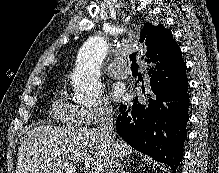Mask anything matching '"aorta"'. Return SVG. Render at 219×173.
Returning a JSON list of instances; mask_svg holds the SVG:
<instances>
[{"mask_svg": "<svg viewBox=\"0 0 219 173\" xmlns=\"http://www.w3.org/2000/svg\"><path fill=\"white\" fill-rule=\"evenodd\" d=\"M107 52V42L101 36L90 37L80 48L72 76V85L79 100L89 102L100 98V68Z\"/></svg>", "mask_w": 219, "mask_h": 173, "instance_id": "obj_1", "label": "aorta"}]
</instances>
